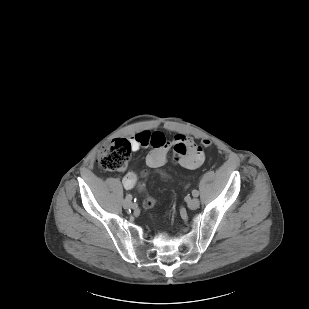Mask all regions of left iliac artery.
I'll return each mask as SVG.
<instances>
[{"label":"left iliac artery","instance_id":"44dca946","mask_svg":"<svg viewBox=\"0 0 309 309\" xmlns=\"http://www.w3.org/2000/svg\"><path fill=\"white\" fill-rule=\"evenodd\" d=\"M192 195H193L194 197H197V196L199 195V192H198L197 190H193V191H192Z\"/></svg>","mask_w":309,"mask_h":309}]
</instances>
